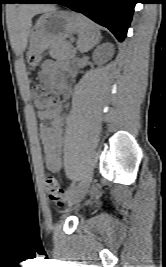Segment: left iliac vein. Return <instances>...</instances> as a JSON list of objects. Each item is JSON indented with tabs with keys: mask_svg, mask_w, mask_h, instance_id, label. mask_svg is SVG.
Instances as JSON below:
<instances>
[{
	"mask_svg": "<svg viewBox=\"0 0 166 267\" xmlns=\"http://www.w3.org/2000/svg\"><path fill=\"white\" fill-rule=\"evenodd\" d=\"M92 172H88L84 179L79 183V185L74 189V191L67 198V201L70 206L77 204L80 202L84 196L86 195L91 182H92Z\"/></svg>",
	"mask_w": 166,
	"mask_h": 267,
	"instance_id": "left-iliac-vein-1",
	"label": "left iliac vein"
}]
</instances>
